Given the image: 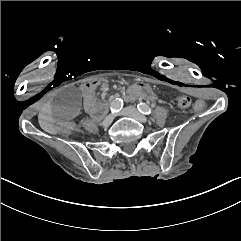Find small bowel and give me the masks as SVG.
Returning <instances> with one entry per match:
<instances>
[{
	"instance_id": "c3829d8e",
	"label": "small bowel",
	"mask_w": 241,
	"mask_h": 241,
	"mask_svg": "<svg viewBox=\"0 0 241 241\" xmlns=\"http://www.w3.org/2000/svg\"><path fill=\"white\" fill-rule=\"evenodd\" d=\"M99 85L98 82H89L85 83L81 86V91L84 97L85 108L87 112L94 116L96 109L98 108L97 104H95V90ZM104 90V88L102 89ZM127 91L130 94L141 93L143 97L148 100H153L156 97L155 89L151 88L149 84L144 82L130 83L127 86ZM43 109L46 107L44 104L41 106ZM44 117L43 120L47 125H54L55 123L49 121L45 114L46 112L43 110L41 112ZM58 128H65L67 125L64 123H58L56 125Z\"/></svg>"
}]
</instances>
